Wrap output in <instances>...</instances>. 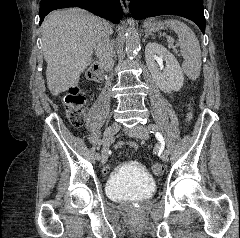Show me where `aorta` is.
<instances>
[{
	"mask_svg": "<svg viewBox=\"0 0 240 238\" xmlns=\"http://www.w3.org/2000/svg\"><path fill=\"white\" fill-rule=\"evenodd\" d=\"M126 47L125 51L127 57L132 59L137 56L140 48V38L137 29L133 26H129L126 29Z\"/></svg>",
	"mask_w": 240,
	"mask_h": 238,
	"instance_id": "762f6f07",
	"label": "aorta"
}]
</instances>
